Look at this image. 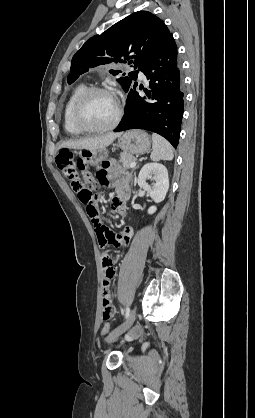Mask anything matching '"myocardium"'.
Wrapping results in <instances>:
<instances>
[{"label": "myocardium", "mask_w": 255, "mask_h": 418, "mask_svg": "<svg viewBox=\"0 0 255 418\" xmlns=\"http://www.w3.org/2000/svg\"><path fill=\"white\" fill-rule=\"evenodd\" d=\"M95 93L106 94L112 97L116 103V113H115L113 120L111 121V123L103 127L89 126L82 120V109H83L84 103L91 95ZM121 115H122V107L120 103L116 100V98L113 96V94L104 87L92 86V87L86 88L76 99L73 109H72L71 119H72L74 126L78 128L79 130H81L82 132L104 133V132L114 129L118 125Z\"/></svg>", "instance_id": "obj_1"}]
</instances>
